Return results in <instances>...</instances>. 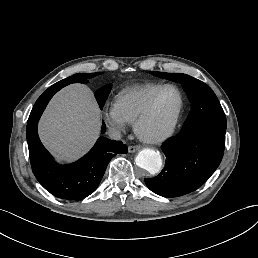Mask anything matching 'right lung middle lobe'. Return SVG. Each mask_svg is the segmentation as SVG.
I'll use <instances>...</instances> for the list:
<instances>
[{"instance_id": "right-lung-middle-lobe-1", "label": "right lung middle lobe", "mask_w": 258, "mask_h": 258, "mask_svg": "<svg viewBox=\"0 0 258 258\" xmlns=\"http://www.w3.org/2000/svg\"><path fill=\"white\" fill-rule=\"evenodd\" d=\"M77 76H81V77H85V78H92L94 76L99 75V73H80V74H76ZM111 90V84L104 86L102 88H100L97 92H96V99L97 102L99 104L100 109L103 108L105 101L109 95V92Z\"/></svg>"}]
</instances>
